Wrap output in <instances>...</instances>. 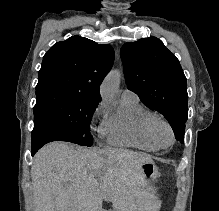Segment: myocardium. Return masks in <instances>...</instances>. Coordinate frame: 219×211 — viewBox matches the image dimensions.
Returning <instances> with one entry per match:
<instances>
[{"instance_id": "obj_1", "label": "myocardium", "mask_w": 219, "mask_h": 211, "mask_svg": "<svg viewBox=\"0 0 219 211\" xmlns=\"http://www.w3.org/2000/svg\"><path fill=\"white\" fill-rule=\"evenodd\" d=\"M165 128L169 133V140L164 142L160 137V131ZM148 129L154 141L161 147H167L174 143L175 135L171 124L161 117H154L149 121Z\"/></svg>"}]
</instances>
